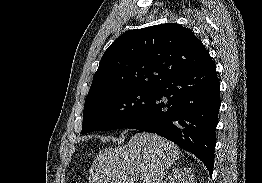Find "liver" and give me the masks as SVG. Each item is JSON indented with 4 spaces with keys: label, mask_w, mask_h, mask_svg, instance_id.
I'll use <instances>...</instances> for the list:
<instances>
[{
    "label": "liver",
    "mask_w": 262,
    "mask_h": 183,
    "mask_svg": "<svg viewBox=\"0 0 262 183\" xmlns=\"http://www.w3.org/2000/svg\"><path fill=\"white\" fill-rule=\"evenodd\" d=\"M180 157L177 145L161 136L137 133L121 148H106L95 157L89 183H163Z\"/></svg>",
    "instance_id": "liver-1"
}]
</instances>
